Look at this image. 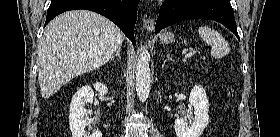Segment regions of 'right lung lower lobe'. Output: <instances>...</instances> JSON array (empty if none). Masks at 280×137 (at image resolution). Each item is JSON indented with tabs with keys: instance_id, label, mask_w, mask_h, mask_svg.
I'll return each instance as SVG.
<instances>
[{
	"instance_id": "98d812e1",
	"label": "right lung lower lobe",
	"mask_w": 280,
	"mask_h": 137,
	"mask_svg": "<svg viewBox=\"0 0 280 137\" xmlns=\"http://www.w3.org/2000/svg\"><path fill=\"white\" fill-rule=\"evenodd\" d=\"M139 0H51L45 25L68 10L86 9L97 12L114 22L135 45L134 27Z\"/></svg>"
}]
</instances>
